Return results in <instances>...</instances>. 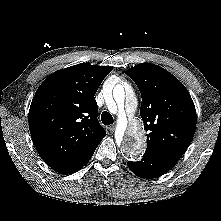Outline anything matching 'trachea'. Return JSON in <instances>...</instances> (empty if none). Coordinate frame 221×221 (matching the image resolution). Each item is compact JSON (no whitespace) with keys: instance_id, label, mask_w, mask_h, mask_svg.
Masks as SVG:
<instances>
[{"instance_id":"obj_1","label":"trachea","mask_w":221,"mask_h":221,"mask_svg":"<svg viewBox=\"0 0 221 221\" xmlns=\"http://www.w3.org/2000/svg\"><path fill=\"white\" fill-rule=\"evenodd\" d=\"M101 121L104 125H110L113 124V117L109 112L104 111L101 114Z\"/></svg>"}]
</instances>
